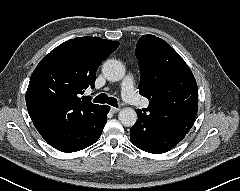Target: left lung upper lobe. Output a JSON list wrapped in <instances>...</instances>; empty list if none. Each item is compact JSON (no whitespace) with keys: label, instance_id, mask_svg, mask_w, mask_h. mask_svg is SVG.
I'll use <instances>...</instances> for the list:
<instances>
[{"label":"left lung upper lobe","instance_id":"5c2ea615","mask_svg":"<svg viewBox=\"0 0 240 191\" xmlns=\"http://www.w3.org/2000/svg\"><path fill=\"white\" fill-rule=\"evenodd\" d=\"M139 92L150 100L149 113L158 121L193 125L198 110L196 80L182 57L164 40L143 35L137 42Z\"/></svg>","mask_w":240,"mask_h":191}]
</instances>
